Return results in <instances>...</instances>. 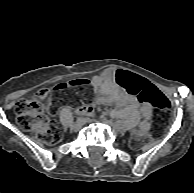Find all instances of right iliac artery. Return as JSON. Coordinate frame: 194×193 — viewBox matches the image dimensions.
Returning <instances> with one entry per match:
<instances>
[{"mask_svg": "<svg viewBox=\"0 0 194 193\" xmlns=\"http://www.w3.org/2000/svg\"><path fill=\"white\" fill-rule=\"evenodd\" d=\"M82 120H83L82 118H78V119H77V122H80V121H82Z\"/></svg>", "mask_w": 194, "mask_h": 193, "instance_id": "obj_1", "label": "right iliac artery"}]
</instances>
